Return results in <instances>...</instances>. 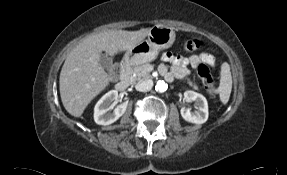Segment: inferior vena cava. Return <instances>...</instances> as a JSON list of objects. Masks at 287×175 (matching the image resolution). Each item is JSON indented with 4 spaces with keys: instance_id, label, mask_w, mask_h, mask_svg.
<instances>
[{
    "instance_id": "inferior-vena-cava-1",
    "label": "inferior vena cava",
    "mask_w": 287,
    "mask_h": 175,
    "mask_svg": "<svg viewBox=\"0 0 287 175\" xmlns=\"http://www.w3.org/2000/svg\"><path fill=\"white\" fill-rule=\"evenodd\" d=\"M153 87V81L151 79H146L138 82L135 86L136 90L145 92L149 91Z\"/></svg>"
}]
</instances>
